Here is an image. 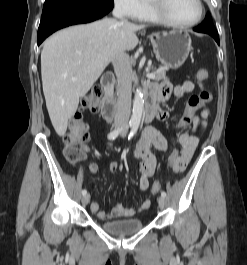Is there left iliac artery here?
Segmentation results:
<instances>
[{
    "label": "left iliac artery",
    "instance_id": "obj_1",
    "mask_svg": "<svg viewBox=\"0 0 247 265\" xmlns=\"http://www.w3.org/2000/svg\"><path fill=\"white\" fill-rule=\"evenodd\" d=\"M138 130V125H133L130 134L128 136V139H131L137 132ZM161 196L165 197L166 196V192L165 191H161Z\"/></svg>",
    "mask_w": 247,
    "mask_h": 265
}]
</instances>
